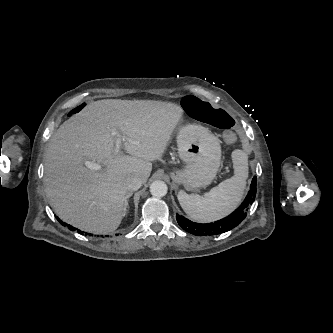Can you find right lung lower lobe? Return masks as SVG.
Returning <instances> with one entry per match:
<instances>
[{
  "label": "right lung lower lobe",
  "instance_id": "1",
  "mask_svg": "<svg viewBox=\"0 0 333 333\" xmlns=\"http://www.w3.org/2000/svg\"><path fill=\"white\" fill-rule=\"evenodd\" d=\"M57 219H58V218H57ZM58 221H59L63 226H67L70 230H76V228H74L73 226L68 225V224L62 222V221L59 220V219H58ZM78 233L83 234V232H82L81 230H78ZM86 234H87V233H86ZM88 235L90 236L91 234H88Z\"/></svg>",
  "mask_w": 333,
  "mask_h": 333
}]
</instances>
